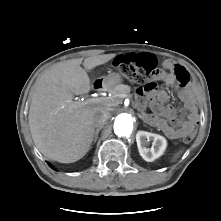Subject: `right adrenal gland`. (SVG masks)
Wrapping results in <instances>:
<instances>
[{
  "instance_id": "1",
  "label": "right adrenal gland",
  "mask_w": 221,
  "mask_h": 221,
  "mask_svg": "<svg viewBox=\"0 0 221 221\" xmlns=\"http://www.w3.org/2000/svg\"><path fill=\"white\" fill-rule=\"evenodd\" d=\"M102 127H97L96 130H95V134H94V139H93V142L96 143L97 139H98V135H99V132L101 131Z\"/></svg>"
}]
</instances>
